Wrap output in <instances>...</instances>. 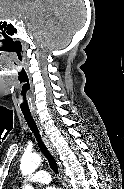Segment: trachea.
<instances>
[{"instance_id":"obj_1","label":"trachea","mask_w":124,"mask_h":189,"mask_svg":"<svg viewBox=\"0 0 124 189\" xmlns=\"http://www.w3.org/2000/svg\"><path fill=\"white\" fill-rule=\"evenodd\" d=\"M24 118L28 124V126L30 127V129L32 130V132L34 133V135L37 138L38 141V145L40 147L41 152L44 154V156L48 159L49 165L51 167V169L55 172L58 173V166L57 163L55 161V159L51 156V154L49 153V151L47 150L46 146L43 144L37 125L31 115L30 112H23Z\"/></svg>"}]
</instances>
